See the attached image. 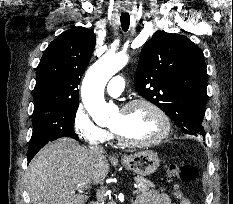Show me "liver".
Listing matches in <instances>:
<instances>
[{
  "label": "liver",
  "mask_w": 233,
  "mask_h": 204,
  "mask_svg": "<svg viewBox=\"0 0 233 204\" xmlns=\"http://www.w3.org/2000/svg\"><path fill=\"white\" fill-rule=\"evenodd\" d=\"M109 172L104 155L96 156L71 138L45 145L27 170L32 204H84L93 185L102 183Z\"/></svg>",
  "instance_id": "obj_1"
}]
</instances>
